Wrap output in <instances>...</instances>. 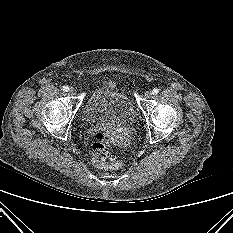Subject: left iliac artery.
<instances>
[{"mask_svg":"<svg viewBox=\"0 0 233 233\" xmlns=\"http://www.w3.org/2000/svg\"><path fill=\"white\" fill-rule=\"evenodd\" d=\"M159 93V89L158 88H154L153 90H152V94L153 95H156V94H158Z\"/></svg>","mask_w":233,"mask_h":233,"instance_id":"obj_1","label":"left iliac artery"}]
</instances>
